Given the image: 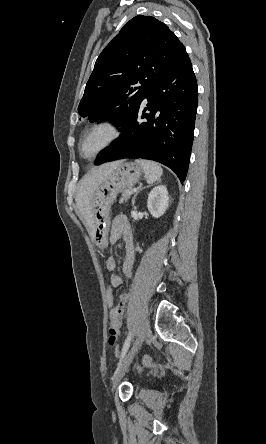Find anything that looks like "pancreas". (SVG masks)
Wrapping results in <instances>:
<instances>
[{
	"instance_id": "cf45deb5",
	"label": "pancreas",
	"mask_w": 266,
	"mask_h": 444,
	"mask_svg": "<svg viewBox=\"0 0 266 444\" xmlns=\"http://www.w3.org/2000/svg\"><path fill=\"white\" fill-rule=\"evenodd\" d=\"M133 193H134V191H133L132 188L125 189L123 191V193H122V197L120 199V203H123L124 201H127Z\"/></svg>"
}]
</instances>
